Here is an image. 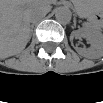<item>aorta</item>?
Wrapping results in <instances>:
<instances>
[{
  "label": "aorta",
  "instance_id": "obj_1",
  "mask_svg": "<svg viewBox=\"0 0 103 103\" xmlns=\"http://www.w3.org/2000/svg\"><path fill=\"white\" fill-rule=\"evenodd\" d=\"M55 18L62 24H67L71 20V11L68 7L61 6L55 9Z\"/></svg>",
  "mask_w": 103,
  "mask_h": 103
}]
</instances>
